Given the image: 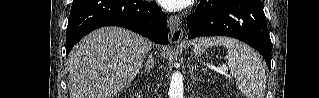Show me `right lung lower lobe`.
<instances>
[{
    "instance_id": "98d812e1",
    "label": "right lung lower lobe",
    "mask_w": 319,
    "mask_h": 98,
    "mask_svg": "<svg viewBox=\"0 0 319 98\" xmlns=\"http://www.w3.org/2000/svg\"><path fill=\"white\" fill-rule=\"evenodd\" d=\"M120 26L148 39L168 44L166 15L155 2L143 0H73L67 26L66 56L89 32Z\"/></svg>"
}]
</instances>
